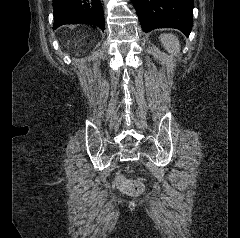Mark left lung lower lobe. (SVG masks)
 <instances>
[{
	"label": "left lung lower lobe",
	"mask_w": 240,
	"mask_h": 238,
	"mask_svg": "<svg viewBox=\"0 0 240 238\" xmlns=\"http://www.w3.org/2000/svg\"><path fill=\"white\" fill-rule=\"evenodd\" d=\"M144 32L176 28L189 36L193 24V0H132Z\"/></svg>",
	"instance_id": "0a47b994"
}]
</instances>
